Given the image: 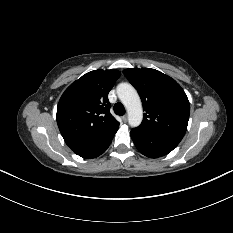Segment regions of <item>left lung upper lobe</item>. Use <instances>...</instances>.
I'll return each mask as SVG.
<instances>
[{
    "instance_id": "obj_1",
    "label": "left lung upper lobe",
    "mask_w": 233,
    "mask_h": 233,
    "mask_svg": "<svg viewBox=\"0 0 233 233\" xmlns=\"http://www.w3.org/2000/svg\"><path fill=\"white\" fill-rule=\"evenodd\" d=\"M124 74L138 90L145 111L141 131L182 140L190 106L182 87L171 77L151 69H125Z\"/></svg>"
}]
</instances>
